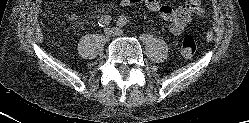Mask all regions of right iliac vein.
Here are the masks:
<instances>
[{
  "mask_svg": "<svg viewBox=\"0 0 249 123\" xmlns=\"http://www.w3.org/2000/svg\"><path fill=\"white\" fill-rule=\"evenodd\" d=\"M105 35H106V37H108V38L114 36V35H115L114 29H113V28H107V29L105 30Z\"/></svg>",
  "mask_w": 249,
  "mask_h": 123,
  "instance_id": "63e3f726",
  "label": "right iliac vein"
}]
</instances>
